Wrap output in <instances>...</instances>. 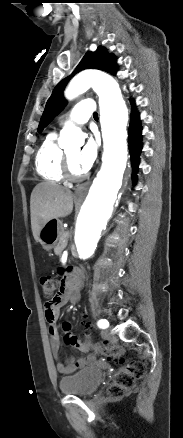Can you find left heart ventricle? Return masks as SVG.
Wrapping results in <instances>:
<instances>
[{
	"label": "left heart ventricle",
	"mask_w": 183,
	"mask_h": 438,
	"mask_svg": "<svg viewBox=\"0 0 183 438\" xmlns=\"http://www.w3.org/2000/svg\"><path fill=\"white\" fill-rule=\"evenodd\" d=\"M79 152H80L79 148L72 149V150H69L67 152V156H68V158L70 160V164H71V169L76 174L84 173L77 164V157H78Z\"/></svg>",
	"instance_id": "b2bd125f"
}]
</instances>
